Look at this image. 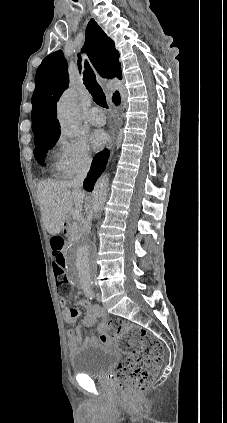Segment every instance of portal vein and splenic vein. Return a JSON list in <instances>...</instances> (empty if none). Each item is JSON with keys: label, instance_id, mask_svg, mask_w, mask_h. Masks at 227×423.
Instances as JSON below:
<instances>
[{"label": "portal vein and splenic vein", "instance_id": "1", "mask_svg": "<svg viewBox=\"0 0 227 423\" xmlns=\"http://www.w3.org/2000/svg\"><path fill=\"white\" fill-rule=\"evenodd\" d=\"M72 217L73 219H79V217H81L80 211L72 210Z\"/></svg>", "mask_w": 227, "mask_h": 423}]
</instances>
